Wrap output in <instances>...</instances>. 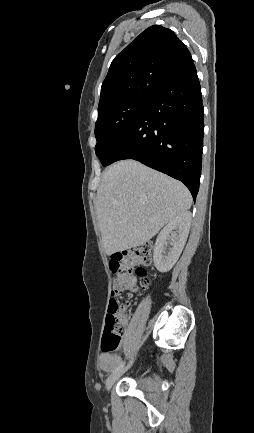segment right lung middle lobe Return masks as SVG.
<instances>
[{
  "label": "right lung middle lobe",
  "mask_w": 254,
  "mask_h": 433,
  "mask_svg": "<svg viewBox=\"0 0 254 433\" xmlns=\"http://www.w3.org/2000/svg\"><path fill=\"white\" fill-rule=\"evenodd\" d=\"M150 99H127L98 110L95 124L96 155L107 166L112 154Z\"/></svg>",
  "instance_id": "1"
}]
</instances>
